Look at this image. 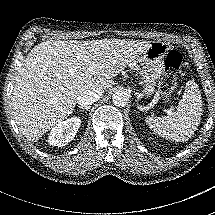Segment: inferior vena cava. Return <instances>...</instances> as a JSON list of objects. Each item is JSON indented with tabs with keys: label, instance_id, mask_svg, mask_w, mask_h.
<instances>
[{
	"label": "inferior vena cava",
	"instance_id": "obj_1",
	"mask_svg": "<svg viewBox=\"0 0 215 215\" xmlns=\"http://www.w3.org/2000/svg\"><path fill=\"white\" fill-rule=\"evenodd\" d=\"M103 93L104 91L82 93L80 96H78L77 103L81 107L90 106L94 102L98 101L102 97Z\"/></svg>",
	"mask_w": 215,
	"mask_h": 215
}]
</instances>
